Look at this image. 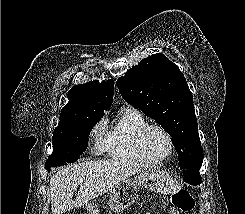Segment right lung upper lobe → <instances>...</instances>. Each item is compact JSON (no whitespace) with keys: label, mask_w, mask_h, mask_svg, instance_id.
<instances>
[{"label":"right lung upper lobe","mask_w":245,"mask_h":214,"mask_svg":"<svg viewBox=\"0 0 245 214\" xmlns=\"http://www.w3.org/2000/svg\"><path fill=\"white\" fill-rule=\"evenodd\" d=\"M114 81L88 82L73 86L68 94L69 102L62 108L60 123L54 130L58 133L67 129L79 116L90 113H104L113 102Z\"/></svg>","instance_id":"1"}]
</instances>
